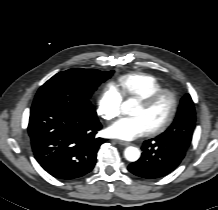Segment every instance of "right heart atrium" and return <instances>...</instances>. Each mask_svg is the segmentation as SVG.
<instances>
[{"instance_id": "right-heart-atrium-1", "label": "right heart atrium", "mask_w": 218, "mask_h": 210, "mask_svg": "<svg viewBox=\"0 0 218 210\" xmlns=\"http://www.w3.org/2000/svg\"><path fill=\"white\" fill-rule=\"evenodd\" d=\"M122 109V97L113 87H106L97 102V113L105 120L117 118Z\"/></svg>"}]
</instances>
